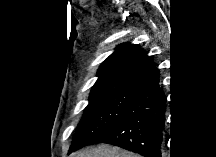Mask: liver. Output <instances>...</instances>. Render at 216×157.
<instances>
[{
    "label": "liver",
    "instance_id": "1",
    "mask_svg": "<svg viewBox=\"0 0 216 157\" xmlns=\"http://www.w3.org/2000/svg\"><path fill=\"white\" fill-rule=\"evenodd\" d=\"M76 157H138L137 154L110 145H98L76 154Z\"/></svg>",
    "mask_w": 216,
    "mask_h": 157
}]
</instances>
